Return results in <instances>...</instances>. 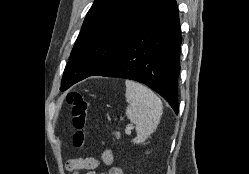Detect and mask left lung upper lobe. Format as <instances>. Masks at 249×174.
Returning <instances> with one entry per match:
<instances>
[{"label":"left lung upper lobe","mask_w":249,"mask_h":174,"mask_svg":"<svg viewBox=\"0 0 249 174\" xmlns=\"http://www.w3.org/2000/svg\"><path fill=\"white\" fill-rule=\"evenodd\" d=\"M166 0H95L71 51L61 91L104 68Z\"/></svg>","instance_id":"1"}]
</instances>
